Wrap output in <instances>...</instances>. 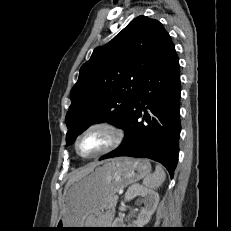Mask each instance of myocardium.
<instances>
[{"label":"myocardium","mask_w":231,"mask_h":231,"mask_svg":"<svg viewBox=\"0 0 231 231\" xmlns=\"http://www.w3.org/2000/svg\"><path fill=\"white\" fill-rule=\"evenodd\" d=\"M96 128H103V129L108 130L112 134V142L100 152L94 155L84 156L79 152V149H78L79 140L85 133L89 132L90 130L96 129ZM123 140H124V131L117 124L111 121H107V120H100V121H95V122L90 123L77 135L75 142H74V148H75V152L77 153V155L81 157L82 159H86V160L96 159L104 155H107L111 153L112 151H114L115 149H117L121 145Z\"/></svg>","instance_id":"obj_1"}]
</instances>
